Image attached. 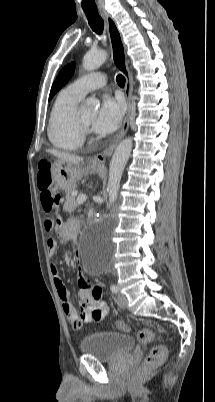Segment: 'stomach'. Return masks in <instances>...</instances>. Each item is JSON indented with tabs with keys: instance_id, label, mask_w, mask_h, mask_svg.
Wrapping results in <instances>:
<instances>
[{
	"instance_id": "0dacf381",
	"label": "stomach",
	"mask_w": 215,
	"mask_h": 402,
	"mask_svg": "<svg viewBox=\"0 0 215 402\" xmlns=\"http://www.w3.org/2000/svg\"><path fill=\"white\" fill-rule=\"evenodd\" d=\"M99 171V167L88 164H71L57 160L51 165V175L54 183L62 190H68L75 187L76 182L83 176Z\"/></svg>"
}]
</instances>
